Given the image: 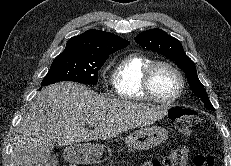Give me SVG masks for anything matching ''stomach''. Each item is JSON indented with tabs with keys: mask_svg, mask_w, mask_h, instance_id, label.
<instances>
[{
	"mask_svg": "<svg viewBox=\"0 0 231 166\" xmlns=\"http://www.w3.org/2000/svg\"><path fill=\"white\" fill-rule=\"evenodd\" d=\"M168 138V131L161 126L142 127L129 134L125 143L128 150H147L164 143ZM111 155L110 149L97 143H77L66 147L64 159L66 161L88 165L107 160Z\"/></svg>",
	"mask_w": 231,
	"mask_h": 166,
	"instance_id": "stomach-1",
	"label": "stomach"
}]
</instances>
